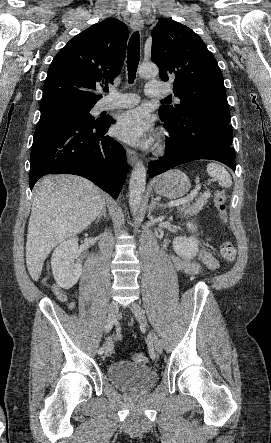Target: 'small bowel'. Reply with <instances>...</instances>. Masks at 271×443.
Segmentation results:
<instances>
[{"label":"small bowel","instance_id":"small-bowel-1","mask_svg":"<svg viewBox=\"0 0 271 443\" xmlns=\"http://www.w3.org/2000/svg\"><path fill=\"white\" fill-rule=\"evenodd\" d=\"M199 257H200V261L206 267H208L210 269H215L217 267V261L210 253H208L206 251H201ZM172 260H173L175 267L178 270L184 271L189 274H195L199 271L200 266L197 263L182 260L181 258H179L177 256H174ZM53 292L55 293V295L57 296L59 301L66 302V296L64 295V293L62 292V290L59 287L54 286ZM68 307L70 309H73L75 306L73 303H68Z\"/></svg>","mask_w":271,"mask_h":443}]
</instances>
